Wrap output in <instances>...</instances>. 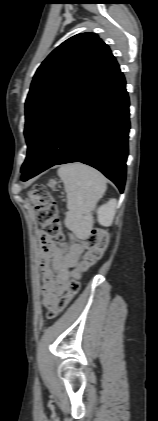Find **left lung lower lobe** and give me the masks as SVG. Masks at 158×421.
I'll return each mask as SVG.
<instances>
[{
	"label": "left lung lower lobe",
	"mask_w": 158,
	"mask_h": 421,
	"mask_svg": "<svg viewBox=\"0 0 158 421\" xmlns=\"http://www.w3.org/2000/svg\"><path fill=\"white\" fill-rule=\"evenodd\" d=\"M129 129L125 79L113 57L55 119L21 180L54 165L82 162L101 171L122 193Z\"/></svg>",
	"instance_id": "obj_1"
}]
</instances>
